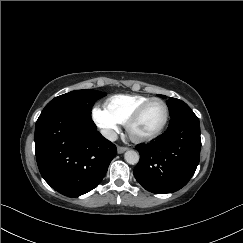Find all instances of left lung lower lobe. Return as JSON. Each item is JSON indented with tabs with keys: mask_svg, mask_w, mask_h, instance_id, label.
Instances as JSON below:
<instances>
[{
	"mask_svg": "<svg viewBox=\"0 0 243 243\" xmlns=\"http://www.w3.org/2000/svg\"><path fill=\"white\" fill-rule=\"evenodd\" d=\"M200 149L198 117L194 114L180 118L155 141L137 147L140 160L133 170L134 176L149 192H175L193 176Z\"/></svg>",
	"mask_w": 243,
	"mask_h": 243,
	"instance_id": "1",
	"label": "left lung lower lobe"
}]
</instances>
